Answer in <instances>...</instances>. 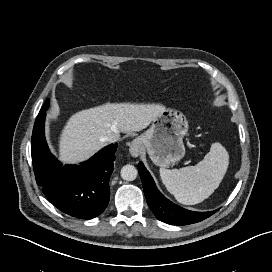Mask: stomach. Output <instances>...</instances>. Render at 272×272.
Returning a JSON list of instances; mask_svg holds the SVG:
<instances>
[{
	"instance_id": "1",
	"label": "stomach",
	"mask_w": 272,
	"mask_h": 272,
	"mask_svg": "<svg viewBox=\"0 0 272 272\" xmlns=\"http://www.w3.org/2000/svg\"><path fill=\"white\" fill-rule=\"evenodd\" d=\"M187 132L188 121L183 113L167 109L153 120L137 141L155 165L168 167L184 157L183 137Z\"/></svg>"
}]
</instances>
